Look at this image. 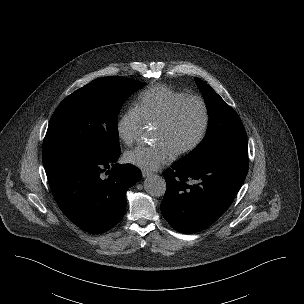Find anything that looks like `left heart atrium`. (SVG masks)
I'll use <instances>...</instances> for the list:
<instances>
[{"label": "left heart atrium", "instance_id": "1", "mask_svg": "<svg viewBox=\"0 0 304 304\" xmlns=\"http://www.w3.org/2000/svg\"><path fill=\"white\" fill-rule=\"evenodd\" d=\"M175 156V152L166 144H156L154 146H138L125 153V161L133 166L146 171H153Z\"/></svg>", "mask_w": 304, "mask_h": 304}]
</instances>
